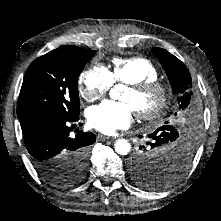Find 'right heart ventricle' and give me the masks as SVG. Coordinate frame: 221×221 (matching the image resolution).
Segmentation results:
<instances>
[{"instance_id": "right-heart-ventricle-1", "label": "right heart ventricle", "mask_w": 221, "mask_h": 221, "mask_svg": "<svg viewBox=\"0 0 221 221\" xmlns=\"http://www.w3.org/2000/svg\"><path fill=\"white\" fill-rule=\"evenodd\" d=\"M109 72L113 82L127 85L155 80L159 76L157 67L147 58L140 56L113 59Z\"/></svg>"}]
</instances>
